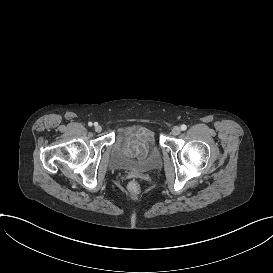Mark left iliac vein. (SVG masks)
<instances>
[{"mask_svg": "<svg viewBox=\"0 0 273 273\" xmlns=\"http://www.w3.org/2000/svg\"><path fill=\"white\" fill-rule=\"evenodd\" d=\"M180 132H181V129H180V127H178V126H175V127L172 129V134L175 135V136L179 135Z\"/></svg>", "mask_w": 273, "mask_h": 273, "instance_id": "4c4485c4", "label": "left iliac vein"}]
</instances>
